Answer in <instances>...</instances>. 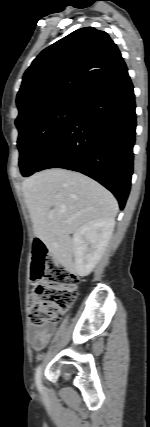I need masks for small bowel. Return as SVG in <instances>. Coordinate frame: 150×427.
<instances>
[{
  "label": "small bowel",
  "mask_w": 150,
  "mask_h": 427,
  "mask_svg": "<svg viewBox=\"0 0 150 427\" xmlns=\"http://www.w3.org/2000/svg\"><path fill=\"white\" fill-rule=\"evenodd\" d=\"M52 333H53L52 327H46V328L31 327L29 329V341L32 347L35 350L42 349L49 341Z\"/></svg>",
  "instance_id": "1"
}]
</instances>
